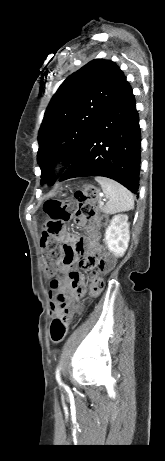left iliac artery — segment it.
I'll return each instance as SVG.
<instances>
[{"instance_id": "1", "label": "left iliac artery", "mask_w": 165, "mask_h": 461, "mask_svg": "<svg viewBox=\"0 0 165 461\" xmlns=\"http://www.w3.org/2000/svg\"><path fill=\"white\" fill-rule=\"evenodd\" d=\"M56 378H57L58 382H60V377H59L58 370H57Z\"/></svg>"}]
</instances>
